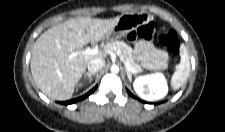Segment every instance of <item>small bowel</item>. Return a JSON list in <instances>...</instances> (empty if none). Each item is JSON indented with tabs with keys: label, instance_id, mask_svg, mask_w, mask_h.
<instances>
[{
	"label": "small bowel",
	"instance_id": "obj_1",
	"mask_svg": "<svg viewBox=\"0 0 225 132\" xmlns=\"http://www.w3.org/2000/svg\"><path fill=\"white\" fill-rule=\"evenodd\" d=\"M134 53L144 68L159 69L166 64V54L148 41H139Z\"/></svg>",
	"mask_w": 225,
	"mask_h": 132
}]
</instances>
